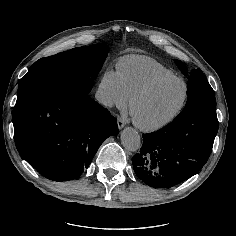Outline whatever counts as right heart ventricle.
<instances>
[{"instance_id": "e07e8e85", "label": "right heart ventricle", "mask_w": 236, "mask_h": 236, "mask_svg": "<svg viewBox=\"0 0 236 236\" xmlns=\"http://www.w3.org/2000/svg\"><path fill=\"white\" fill-rule=\"evenodd\" d=\"M116 67L130 97L150 81L174 75L171 69L146 55H125L118 59Z\"/></svg>"}]
</instances>
